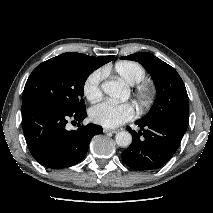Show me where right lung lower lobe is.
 Listing matches in <instances>:
<instances>
[{
    "label": "right lung lower lobe",
    "mask_w": 213,
    "mask_h": 213,
    "mask_svg": "<svg viewBox=\"0 0 213 213\" xmlns=\"http://www.w3.org/2000/svg\"><path fill=\"white\" fill-rule=\"evenodd\" d=\"M83 111L69 114L38 97L22 101V123L29 150L41 165L51 168H67L79 163L86 155L89 143L96 134H102L101 126L88 124L77 130H67L68 119L82 122Z\"/></svg>",
    "instance_id": "right-lung-lower-lobe-1"
}]
</instances>
